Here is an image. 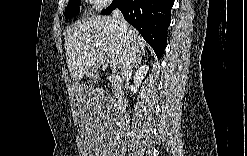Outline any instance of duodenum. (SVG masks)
Masks as SVG:
<instances>
[{
	"label": "duodenum",
	"instance_id": "duodenum-1",
	"mask_svg": "<svg viewBox=\"0 0 247 156\" xmlns=\"http://www.w3.org/2000/svg\"><path fill=\"white\" fill-rule=\"evenodd\" d=\"M110 78L112 79L114 86H115V91L119 97V101H118V106L120 107L122 105V100H123V95L125 93V87L124 84L122 82V80L120 78H117L115 76H110Z\"/></svg>",
	"mask_w": 247,
	"mask_h": 156
}]
</instances>
